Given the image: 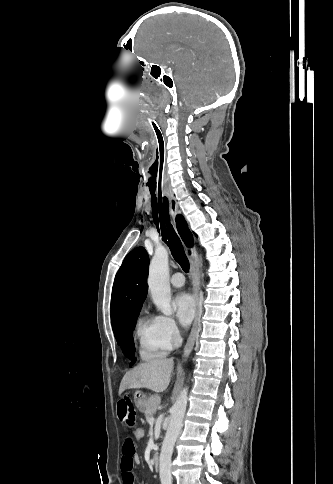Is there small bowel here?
I'll use <instances>...</instances> for the list:
<instances>
[{
  "label": "small bowel",
  "instance_id": "1",
  "mask_svg": "<svg viewBox=\"0 0 333 484\" xmlns=\"http://www.w3.org/2000/svg\"><path fill=\"white\" fill-rule=\"evenodd\" d=\"M116 416L121 425L128 431H132L136 424V413L132 400L128 394H124L116 403ZM139 461L136 454L134 440L128 436L123 442L121 472L123 484H134L133 466Z\"/></svg>",
  "mask_w": 333,
  "mask_h": 484
}]
</instances>
